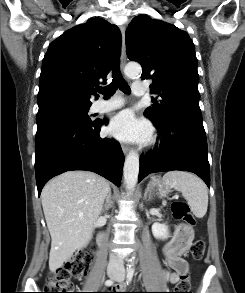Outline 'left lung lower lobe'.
Returning <instances> with one entry per match:
<instances>
[{
	"mask_svg": "<svg viewBox=\"0 0 245 293\" xmlns=\"http://www.w3.org/2000/svg\"><path fill=\"white\" fill-rule=\"evenodd\" d=\"M153 124L161 136V143L158 149L140 157L138 182L150 173L181 170L197 174L210 187L207 140L202 119L174 113Z\"/></svg>",
	"mask_w": 245,
	"mask_h": 293,
	"instance_id": "left-lung-lower-lobe-1",
	"label": "left lung lower lobe"
}]
</instances>
